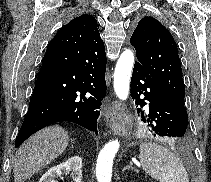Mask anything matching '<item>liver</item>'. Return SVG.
<instances>
[{
	"label": "liver",
	"instance_id": "1",
	"mask_svg": "<svg viewBox=\"0 0 211 182\" xmlns=\"http://www.w3.org/2000/svg\"><path fill=\"white\" fill-rule=\"evenodd\" d=\"M67 131L58 126L44 128L27 139L17 150L13 162L15 182H24L50 164L67 148Z\"/></svg>",
	"mask_w": 211,
	"mask_h": 182
}]
</instances>
